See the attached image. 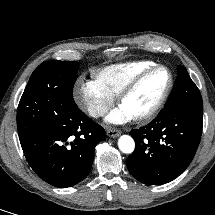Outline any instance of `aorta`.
Masks as SVG:
<instances>
[{
	"mask_svg": "<svg viewBox=\"0 0 215 215\" xmlns=\"http://www.w3.org/2000/svg\"><path fill=\"white\" fill-rule=\"evenodd\" d=\"M119 149L126 154L132 153L135 148V142L131 136L122 135L118 141Z\"/></svg>",
	"mask_w": 215,
	"mask_h": 215,
	"instance_id": "obj_1",
	"label": "aorta"
}]
</instances>
